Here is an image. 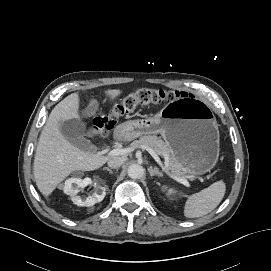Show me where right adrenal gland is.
I'll use <instances>...</instances> for the list:
<instances>
[{
  "label": "right adrenal gland",
  "instance_id": "obj_1",
  "mask_svg": "<svg viewBox=\"0 0 271 271\" xmlns=\"http://www.w3.org/2000/svg\"><path fill=\"white\" fill-rule=\"evenodd\" d=\"M103 170H107L110 174L113 173V171L110 168H108V167H104Z\"/></svg>",
  "mask_w": 271,
  "mask_h": 271
}]
</instances>
